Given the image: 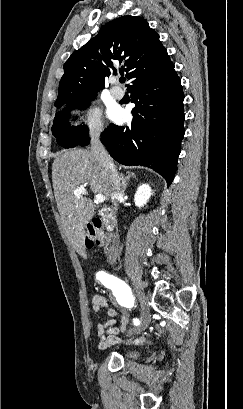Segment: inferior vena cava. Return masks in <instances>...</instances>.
Masks as SVG:
<instances>
[{"label": "inferior vena cava", "mask_w": 243, "mask_h": 409, "mask_svg": "<svg viewBox=\"0 0 243 409\" xmlns=\"http://www.w3.org/2000/svg\"><path fill=\"white\" fill-rule=\"evenodd\" d=\"M91 153L98 160L107 174L110 185L111 200L114 205V209L117 210V200L123 195L120 184L121 179L110 155L107 153L104 145L99 140V134L94 135L91 140ZM118 254V245L116 242H113L110 247V258L115 261Z\"/></svg>", "instance_id": "obj_1"}]
</instances>
